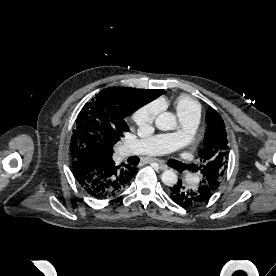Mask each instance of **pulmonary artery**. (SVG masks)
<instances>
[{
  "label": "pulmonary artery",
  "instance_id": "pulmonary-artery-1",
  "mask_svg": "<svg viewBox=\"0 0 276 276\" xmlns=\"http://www.w3.org/2000/svg\"><path fill=\"white\" fill-rule=\"evenodd\" d=\"M181 129L174 133L156 135L140 141L127 143L123 149H137L139 153L158 155L167 154L183 147L188 141L191 134L195 131L198 118L187 116L180 118ZM197 176H193V181H197Z\"/></svg>",
  "mask_w": 276,
  "mask_h": 276
}]
</instances>
